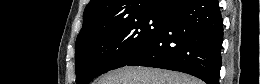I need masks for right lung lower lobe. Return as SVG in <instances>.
Here are the masks:
<instances>
[{"label":"right lung lower lobe","mask_w":260,"mask_h":84,"mask_svg":"<svg viewBox=\"0 0 260 84\" xmlns=\"http://www.w3.org/2000/svg\"><path fill=\"white\" fill-rule=\"evenodd\" d=\"M223 21L217 0H188L167 14L151 45L127 65L156 67L219 84Z\"/></svg>","instance_id":"98d812e1"}]
</instances>
